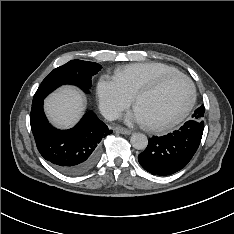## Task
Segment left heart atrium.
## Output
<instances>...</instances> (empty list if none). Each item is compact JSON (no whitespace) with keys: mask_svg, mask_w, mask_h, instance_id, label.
<instances>
[{"mask_svg":"<svg viewBox=\"0 0 234 234\" xmlns=\"http://www.w3.org/2000/svg\"><path fill=\"white\" fill-rule=\"evenodd\" d=\"M127 120L136 123H147L144 116L137 108L133 112L127 115Z\"/></svg>","mask_w":234,"mask_h":234,"instance_id":"left-heart-atrium-1","label":"left heart atrium"}]
</instances>
